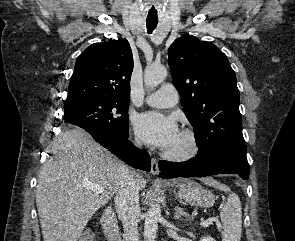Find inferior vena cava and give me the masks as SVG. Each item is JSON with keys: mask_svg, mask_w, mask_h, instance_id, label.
<instances>
[{"mask_svg": "<svg viewBox=\"0 0 295 241\" xmlns=\"http://www.w3.org/2000/svg\"><path fill=\"white\" fill-rule=\"evenodd\" d=\"M140 145L139 141H136ZM117 185L115 208L124 228L125 241H139L138 214L139 188L136 185L135 174L125 165L117 170Z\"/></svg>", "mask_w": 295, "mask_h": 241, "instance_id": "inferior-vena-cava-1", "label": "inferior vena cava"}]
</instances>
